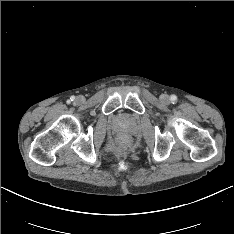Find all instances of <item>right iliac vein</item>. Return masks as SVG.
I'll use <instances>...</instances> for the list:
<instances>
[{
    "mask_svg": "<svg viewBox=\"0 0 234 234\" xmlns=\"http://www.w3.org/2000/svg\"><path fill=\"white\" fill-rule=\"evenodd\" d=\"M83 101V97L82 96H78L77 97V102H82Z\"/></svg>",
    "mask_w": 234,
    "mask_h": 234,
    "instance_id": "1",
    "label": "right iliac vein"
}]
</instances>
